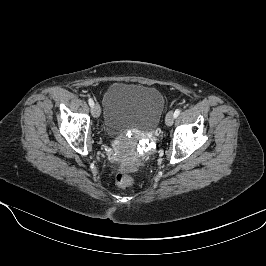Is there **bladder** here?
<instances>
[{"mask_svg":"<svg viewBox=\"0 0 266 266\" xmlns=\"http://www.w3.org/2000/svg\"><path fill=\"white\" fill-rule=\"evenodd\" d=\"M164 106V98L155 88L114 83L104 95V129L112 137L128 129L153 131Z\"/></svg>","mask_w":266,"mask_h":266,"instance_id":"bladder-1","label":"bladder"}]
</instances>
